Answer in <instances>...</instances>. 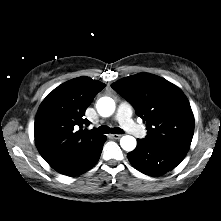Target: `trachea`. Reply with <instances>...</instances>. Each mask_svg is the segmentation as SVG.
Returning a JSON list of instances; mask_svg holds the SVG:
<instances>
[{"mask_svg":"<svg viewBox=\"0 0 221 221\" xmlns=\"http://www.w3.org/2000/svg\"><path fill=\"white\" fill-rule=\"evenodd\" d=\"M97 132L101 134H108V133L122 134L123 130L119 127L109 128L108 126L103 125L97 129Z\"/></svg>","mask_w":221,"mask_h":221,"instance_id":"trachea-1","label":"trachea"}]
</instances>
